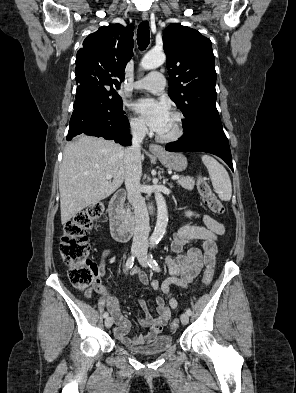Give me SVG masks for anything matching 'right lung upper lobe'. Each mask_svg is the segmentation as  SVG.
<instances>
[{
	"label": "right lung upper lobe",
	"mask_w": 296,
	"mask_h": 393,
	"mask_svg": "<svg viewBox=\"0 0 296 393\" xmlns=\"http://www.w3.org/2000/svg\"><path fill=\"white\" fill-rule=\"evenodd\" d=\"M133 25L102 26L88 35L76 56V80L94 77L120 87L134 47Z\"/></svg>",
	"instance_id": "cb5924a9"
}]
</instances>
